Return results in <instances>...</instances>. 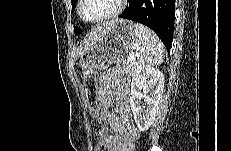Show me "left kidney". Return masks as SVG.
<instances>
[{"label":"left kidney","mask_w":231,"mask_h":151,"mask_svg":"<svg viewBox=\"0 0 231 151\" xmlns=\"http://www.w3.org/2000/svg\"><path fill=\"white\" fill-rule=\"evenodd\" d=\"M163 89L164 75L162 72L146 65L137 66L132 77L130 106L140 131L148 130L155 120ZM142 103L144 106L141 105Z\"/></svg>","instance_id":"obj_1"}]
</instances>
